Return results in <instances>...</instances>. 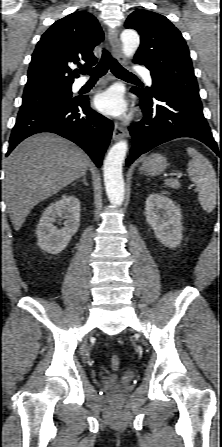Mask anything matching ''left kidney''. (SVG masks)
I'll return each mask as SVG.
<instances>
[{"mask_svg": "<svg viewBox=\"0 0 222 447\" xmlns=\"http://www.w3.org/2000/svg\"><path fill=\"white\" fill-rule=\"evenodd\" d=\"M146 221L156 238L166 247H177L182 236V215L174 202L158 193L150 194L145 202Z\"/></svg>", "mask_w": 222, "mask_h": 447, "instance_id": "5707ae66", "label": "left kidney"}]
</instances>
